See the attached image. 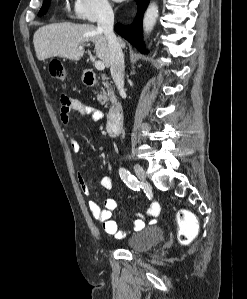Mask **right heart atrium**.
<instances>
[{"label": "right heart atrium", "instance_id": "right-heart-atrium-1", "mask_svg": "<svg viewBox=\"0 0 247 299\" xmlns=\"http://www.w3.org/2000/svg\"><path fill=\"white\" fill-rule=\"evenodd\" d=\"M110 0H71L70 14L73 18L96 22L112 15Z\"/></svg>", "mask_w": 247, "mask_h": 299}]
</instances>
